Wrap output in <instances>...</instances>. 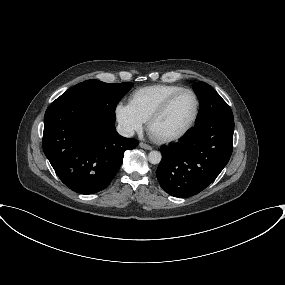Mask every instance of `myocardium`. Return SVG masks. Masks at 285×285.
I'll return each mask as SVG.
<instances>
[{
  "mask_svg": "<svg viewBox=\"0 0 285 285\" xmlns=\"http://www.w3.org/2000/svg\"><path fill=\"white\" fill-rule=\"evenodd\" d=\"M183 93H190L192 94V96L194 97L195 100V109H194V113L193 116L191 118V120L189 121V123L186 125V127L184 129H182L180 132L173 134V135H169V136H164V137H158L155 136L152 133V126L155 123V121H157L169 108V106L171 105V103L181 94ZM199 111H200V100L199 97L197 95V93L192 90V89H187V88H182L178 91H176L175 93L171 94L169 97H167L149 116V118L147 119V124H146V128H147V132L148 134L157 142L159 143H172V142H176L180 139H182L184 136H186L191 130L192 128L195 126L198 116H199Z\"/></svg>",
  "mask_w": 285,
  "mask_h": 285,
  "instance_id": "myocardium-1",
  "label": "myocardium"
}]
</instances>
